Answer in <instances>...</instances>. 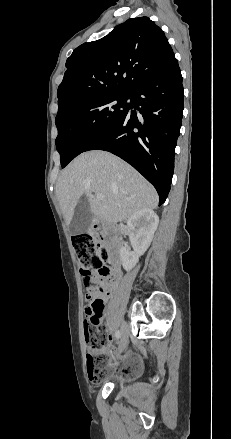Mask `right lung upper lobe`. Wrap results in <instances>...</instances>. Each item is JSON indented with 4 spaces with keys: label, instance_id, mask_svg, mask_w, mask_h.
<instances>
[{
    "label": "right lung upper lobe",
    "instance_id": "1",
    "mask_svg": "<svg viewBox=\"0 0 231 439\" xmlns=\"http://www.w3.org/2000/svg\"><path fill=\"white\" fill-rule=\"evenodd\" d=\"M174 59L160 27L148 17L129 19L107 36L80 45L67 59L58 114L87 99L131 95Z\"/></svg>",
    "mask_w": 231,
    "mask_h": 439
}]
</instances>
